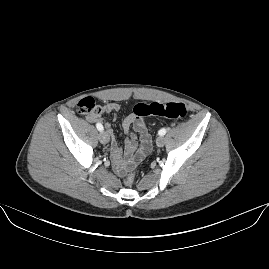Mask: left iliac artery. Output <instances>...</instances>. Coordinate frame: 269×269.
<instances>
[{
  "label": "left iliac artery",
  "mask_w": 269,
  "mask_h": 269,
  "mask_svg": "<svg viewBox=\"0 0 269 269\" xmlns=\"http://www.w3.org/2000/svg\"><path fill=\"white\" fill-rule=\"evenodd\" d=\"M166 134V129L165 128H162L159 130V135L160 136H164Z\"/></svg>",
  "instance_id": "44dca946"
}]
</instances>
